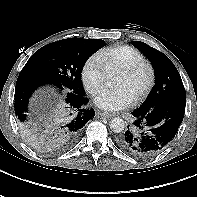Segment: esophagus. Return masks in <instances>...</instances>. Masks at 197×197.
<instances>
[{"mask_svg": "<svg viewBox=\"0 0 197 197\" xmlns=\"http://www.w3.org/2000/svg\"><path fill=\"white\" fill-rule=\"evenodd\" d=\"M98 115L102 118H111L114 116L113 113H109V112H99Z\"/></svg>", "mask_w": 197, "mask_h": 197, "instance_id": "esophagus-1", "label": "esophagus"}]
</instances>
